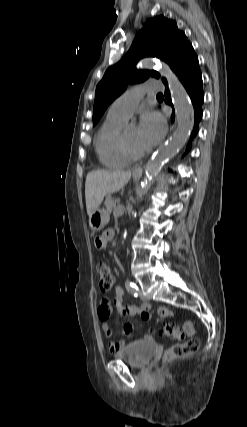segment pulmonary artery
<instances>
[{"label": "pulmonary artery", "instance_id": "obj_1", "mask_svg": "<svg viewBox=\"0 0 247 427\" xmlns=\"http://www.w3.org/2000/svg\"><path fill=\"white\" fill-rule=\"evenodd\" d=\"M160 90H162V85L154 80L148 81L144 85L134 86L125 91L112 103L108 110V115L127 120L145 93Z\"/></svg>", "mask_w": 247, "mask_h": 427}]
</instances>
